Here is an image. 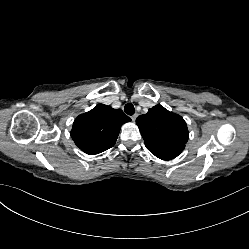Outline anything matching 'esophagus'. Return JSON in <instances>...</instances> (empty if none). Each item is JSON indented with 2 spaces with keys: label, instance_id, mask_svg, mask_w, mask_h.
I'll return each instance as SVG.
<instances>
[{
  "label": "esophagus",
  "instance_id": "1",
  "mask_svg": "<svg viewBox=\"0 0 249 249\" xmlns=\"http://www.w3.org/2000/svg\"><path fill=\"white\" fill-rule=\"evenodd\" d=\"M136 118H137V114H134V115L131 116V119H132L133 122L136 120Z\"/></svg>",
  "mask_w": 249,
  "mask_h": 249
}]
</instances>
